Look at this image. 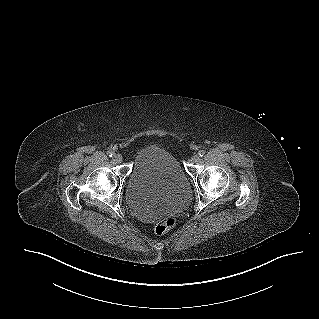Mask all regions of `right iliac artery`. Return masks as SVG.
<instances>
[{
	"instance_id": "obj_1",
	"label": "right iliac artery",
	"mask_w": 319,
	"mask_h": 319,
	"mask_svg": "<svg viewBox=\"0 0 319 319\" xmlns=\"http://www.w3.org/2000/svg\"><path fill=\"white\" fill-rule=\"evenodd\" d=\"M107 155H108L109 157H112V156H113V152H112V151H108V152H107Z\"/></svg>"
}]
</instances>
